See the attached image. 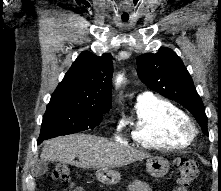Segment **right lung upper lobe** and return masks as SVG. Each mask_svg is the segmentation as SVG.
Segmentation results:
<instances>
[{"instance_id":"cb5924a9","label":"right lung upper lobe","mask_w":221,"mask_h":191,"mask_svg":"<svg viewBox=\"0 0 221 191\" xmlns=\"http://www.w3.org/2000/svg\"><path fill=\"white\" fill-rule=\"evenodd\" d=\"M111 54L82 52L51 96L48 106L78 105L109 111L111 107Z\"/></svg>"}]
</instances>
